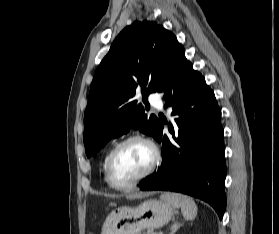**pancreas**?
I'll return each mask as SVG.
<instances>
[{"label":"pancreas","instance_id":"pancreas-1","mask_svg":"<svg viewBox=\"0 0 279 234\" xmlns=\"http://www.w3.org/2000/svg\"><path fill=\"white\" fill-rule=\"evenodd\" d=\"M147 234H158V233H154V232L148 231Z\"/></svg>","mask_w":279,"mask_h":234}]
</instances>
